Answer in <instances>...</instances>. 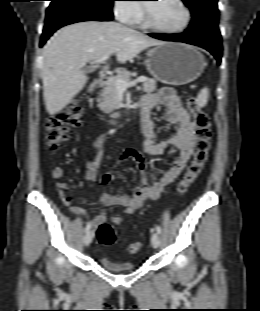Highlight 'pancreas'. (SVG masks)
<instances>
[{"instance_id":"obj_1","label":"pancreas","mask_w":260,"mask_h":311,"mask_svg":"<svg viewBox=\"0 0 260 311\" xmlns=\"http://www.w3.org/2000/svg\"><path fill=\"white\" fill-rule=\"evenodd\" d=\"M131 73L127 70L120 71L116 77H110L103 82V89L98 99V107L101 111L108 114L120 108L119 90L116 87V81L122 79L125 81L130 80ZM156 90V81L154 79H146L143 83V91L152 93Z\"/></svg>"}]
</instances>
